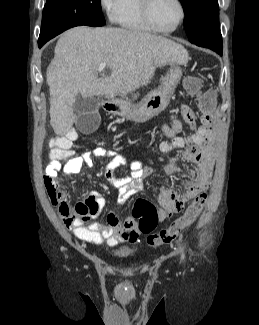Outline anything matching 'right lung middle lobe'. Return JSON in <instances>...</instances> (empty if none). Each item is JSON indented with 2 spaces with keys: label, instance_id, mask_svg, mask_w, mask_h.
<instances>
[{
  "label": "right lung middle lobe",
  "instance_id": "obj_1",
  "mask_svg": "<svg viewBox=\"0 0 259 325\" xmlns=\"http://www.w3.org/2000/svg\"><path fill=\"white\" fill-rule=\"evenodd\" d=\"M104 24L100 0H46L38 42H47L75 26Z\"/></svg>",
  "mask_w": 259,
  "mask_h": 325
}]
</instances>
